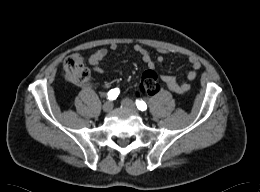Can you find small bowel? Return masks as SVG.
Wrapping results in <instances>:
<instances>
[{
  "label": "small bowel",
  "instance_id": "obj_1",
  "mask_svg": "<svg viewBox=\"0 0 260 192\" xmlns=\"http://www.w3.org/2000/svg\"><path fill=\"white\" fill-rule=\"evenodd\" d=\"M112 50H116L117 46L113 45L111 47ZM134 50L140 55L141 59L150 67H154L158 63H160V58L152 57L149 52L145 49L144 46L141 44H136L134 46ZM107 51L104 49L98 50L95 53H93L89 58V64L93 68L94 71L97 73H102L103 68L101 65L102 59L106 56ZM192 69L188 72V78L194 79L198 75V70L200 68V64L197 60L192 59ZM161 80L166 84L169 90H171L174 93L177 94H185L187 93L192 85L191 83H178L176 79L168 74V73H162L160 74ZM155 76L152 73L147 74L144 77L143 82L141 83V89L143 91H148L152 88L153 82H154Z\"/></svg>",
  "mask_w": 260,
  "mask_h": 192
}]
</instances>
